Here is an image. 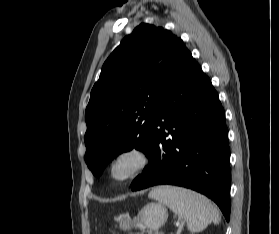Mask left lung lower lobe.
Returning <instances> with one entry per match:
<instances>
[{"instance_id":"1","label":"left lung lower lobe","mask_w":279,"mask_h":234,"mask_svg":"<svg viewBox=\"0 0 279 234\" xmlns=\"http://www.w3.org/2000/svg\"><path fill=\"white\" fill-rule=\"evenodd\" d=\"M149 165L132 190L171 184L212 199L230 218V149L225 112L210 79L184 46L155 111Z\"/></svg>"}]
</instances>
